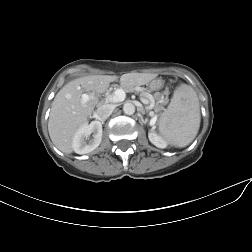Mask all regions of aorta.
<instances>
[{
  "label": "aorta",
  "instance_id": "aorta-1",
  "mask_svg": "<svg viewBox=\"0 0 252 252\" xmlns=\"http://www.w3.org/2000/svg\"><path fill=\"white\" fill-rule=\"evenodd\" d=\"M123 111L127 115H132L135 112V106L132 103L127 102L123 105Z\"/></svg>",
  "mask_w": 252,
  "mask_h": 252
}]
</instances>
